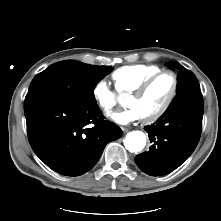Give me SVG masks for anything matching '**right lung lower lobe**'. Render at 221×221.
<instances>
[{
    "mask_svg": "<svg viewBox=\"0 0 221 221\" xmlns=\"http://www.w3.org/2000/svg\"><path fill=\"white\" fill-rule=\"evenodd\" d=\"M29 142L35 154L52 170L67 176L89 171L107 143L122 130L104 120L98 105L80 107L49 98L25 100Z\"/></svg>",
    "mask_w": 221,
    "mask_h": 221,
    "instance_id": "obj_1",
    "label": "right lung lower lobe"
}]
</instances>
